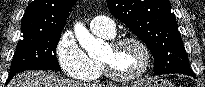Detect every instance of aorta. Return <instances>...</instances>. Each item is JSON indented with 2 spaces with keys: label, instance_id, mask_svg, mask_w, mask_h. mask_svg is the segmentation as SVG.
Listing matches in <instances>:
<instances>
[{
  "label": "aorta",
  "instance_id": "obj_1",
  "mask_svg": "<svg viewBox=\"0 0 205 87\" xmlns=\"http://www.w3.org/2000/svg\"><path fill=\"white\" fill-rule=\"evenodd\" d=\"M74 31L80 46L87 52L98 51L104 46L103 40L95 38L81 23L75 25Z\"/></svg>",
  "mask_w": 205,
  "mask_h": 87
}]
</instances>
